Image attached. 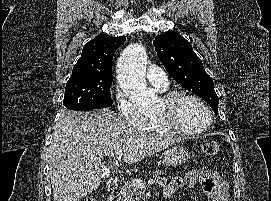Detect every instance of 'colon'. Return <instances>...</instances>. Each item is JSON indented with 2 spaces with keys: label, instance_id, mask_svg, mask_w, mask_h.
<instances>
[{
  "label": "colon",
  "instance_id": "5ec220e1",
  "mask_svg": "<svg viewBox=\"0 0 271 201\" xmlns=\"http://www.w3.org/2000/svg\"><path fill=\"white\" fill-rule=\"evenodd\" d=\"M220 151V145L216 141H207L203 145V152L209 157H215ZM84 201H98L96 196H89L84 199Z\"/></svg>",
  "mask_w": 271,
  "mask_h": 201
}]
</instances>
